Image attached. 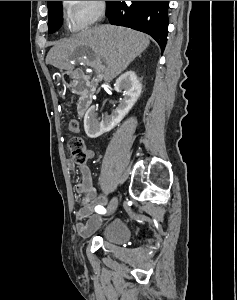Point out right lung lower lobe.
I'll return each mask as SVG.
<instances>
[{
    "label": "right lung lower lobe",
    "mask_w": 237,
    "mask_h": 300,
    "mask_svg": "<svg viewBox=\"0 0 237 300\" xmlns=\"http://www.w3.org/2000/svg\"><path fill=\"white\" fill-rule=\"evenodd\" d=\"M169 1H107L106 16L113 25L151 35L161 50L167 43Z\"/></svg>",
    "instance_id": "1"
}]
</instances>
